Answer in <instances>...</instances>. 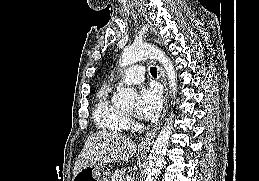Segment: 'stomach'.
Here are the masks:
<instances>
[{
  "instance_id": "obj_1",
  "label": "stomach",
  "mask_w": 259,
  "mask_h": 181,
  "mask_svg": "<svg viewBox=\"0 0 259 181\" xmlns=\"http://www.w3.org/2000/svg\"><path fill=\"white\" fill-rule=\"evenodd\" d=\"M109 173V169L102 163L93 162L80 170L73 181H108Z\"/></svg>"
}]
</instances>
